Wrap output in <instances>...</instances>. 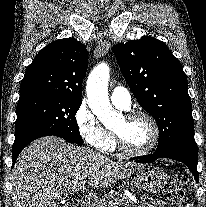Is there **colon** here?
Instances as JSON below:
<instances>
[{
  "label": "colon",
  "instance_id": "1",
  "mask_svg": "<svg viewBox=\"0 0 206 207\" xmlns=\"http://www.w3.org/2000/svg\"><path fill=\"white\" fill-rule=\"evenodd\" d=\"M184 190L178 179L173 180L169 190L166 192V201L168 207H183ZM65 207H76V202L66 205Z\"/></svg>",
  "mask_w": 206,
  "mask_h": 207
}]
</instances>
